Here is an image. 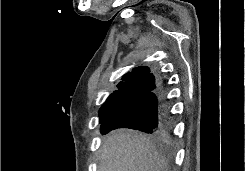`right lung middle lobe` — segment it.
<instances>
[{"label":"right lung middle lobe","mask_w":245,"mask_h":171,"mask_svg":"<svg viewBox=\"0 0 245 171\" xmlns=\"http://www.w3.org/2000/svg\"><path fill=\"white\" fill-rule=\"evenodd\" d=\"M116 105H117L116 103H108V104L105 103L102 105V107L99 110L100 123L103 122L104 118L109 113V111Z\"/></svg>","instance_id":"obj_1"}]
</instances>
